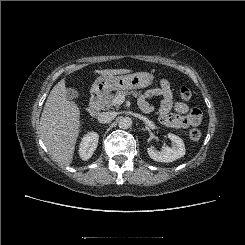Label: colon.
Here are the masks:
<instances>
[{"mask_svg":"<svg viewBox=\"0 0 245 245\" xmlns=\"http://www.w3.org/2000/svg\"><path fill=\"white\" fill-rule=\"evenodd\" d=\"M179 96L182 100L187 101L192 97V91L188 87H181L179 89ZM189 137L192 141H198L202 137V133L199 129L194 128L189 132Z\"/></svg>","mask_w":245,"mask_h":245,"instance_id":"obj_1","label":"colon"}]
</instances>
